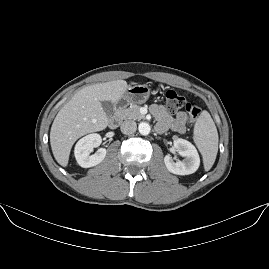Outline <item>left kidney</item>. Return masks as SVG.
<instances>
[{
  "label": "left kidney",
  "instance_id": "left-kidney-1",
  "mask_svg": "<svg viewBox=\"0 0 269 269\" xmlns=\"http://www.w3.org/2000/svg\"><path fill=\"white\" fill-rule=\"evenodd\" d=\"M175 148H180L182 151L179 155L184 157V160L174 159L170 154L165 156V164L167 169L175 174H191L197 171L200 166V156L196 147L188 140L178 138L173 141Z\"/></svg>",
  "mask_w": 269,
  "mask_h": 269
}]
</instances>
